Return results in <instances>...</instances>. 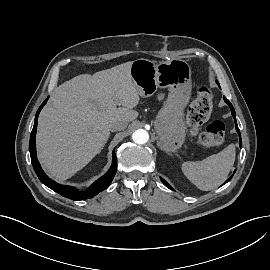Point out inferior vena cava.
Returning a JSON list of instances; mask_svg holds the SVG:
<instances>
[{
  "label": "inferior vena cava",
  "mask_w": 270,
  "mask_h": 270,
  "mask_svg": "<svg viewBox=\"0 0 270 270\" xmlns=\"http://www.w3.org/2000/svg\"><path fill=\"white\" fill-rule=\"evenodd\" d=\"M128 123L126 121L114 122L111 125V131H121L127 127Z\"/></svg>",
  "instance_id": "602c4592"
}]
</instances>
